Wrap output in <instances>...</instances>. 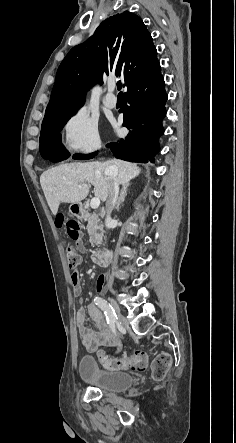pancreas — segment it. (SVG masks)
Segmentation results:
<instances>
[{
  "instance_id": "obj_1",
  "label": "pancreas",
  "mask_w": 236,
  "mask_h": 443,
  "mask_svg": "<svg viewBox=\"0 0 236 443\" xmlns=\"http://www.w3.org/2000/svg\"><path fill=\"white\" fill-rule=\"evenodd\" d=\"M84 218L87 221V231L91 246L94 247L100 245L102 242L104 229L99 217L95 213H87Z\"/></svg>"
}]
</instances>
